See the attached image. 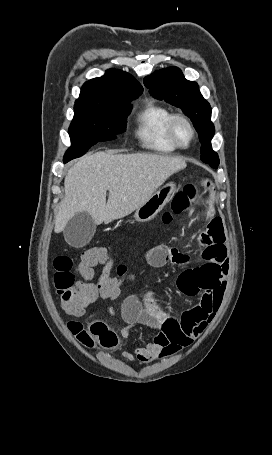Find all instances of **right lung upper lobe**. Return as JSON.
<instances>
[{
  "label": "right lung upper lobe",
  "instance_id": "right-lung-upper-lobe-1",
  "mask_svg": "<svg viewBox=\"0 0 272 455\" xmlns=\"http://www.w3.org/2000/svg\"><path fill=\"white\" fill-rule=\"evenodd\" d=\"M142 86L130 74L109 69L105 75L87 81L81 88L74 107L116 108L141 95Z\"/></svg>",
  "mask_w": 272,
  "mask_h": 455
}]
</instances>
